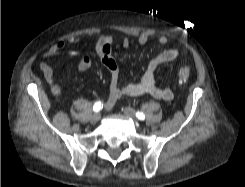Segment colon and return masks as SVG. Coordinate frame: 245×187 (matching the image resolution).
Listing matches in <instances>:
<instances>
[{
  "instance_id": "1",
  "label": "colon",
  "mask_w": 245,
  "mask_h": 187,
  "mask_svg": "<svg viewBox=\"0 0 245 187\" xmlns=\"http://www.w3.org/2000/svg\"><path fill=\"white\" fill-rule=\"evenodd\" d=\"M178 81L180 83H185L189 79L190 76V68L187 65H183L178 69Z\"/></svg>"
}]
</instances>
